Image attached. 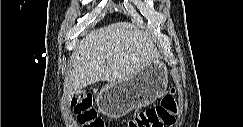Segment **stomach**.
<instances>
[{"label": "stomach", "mask_w": 243, "mask_h": 127, "mask_svg": "<svg viewBox=\"0 0 243 127\" xmlns=\"http://www.w3.org/2000/svg\"><path fill=\"white\" fill-rule=\"evenodd\" d=\"M165 63L154 59L135 76L121 82H109L96 96L99 111L110 118H119L133 109L153 103L167 89Z\"/></svg>", "instance_id": "stomach-1"}]
</instances>
